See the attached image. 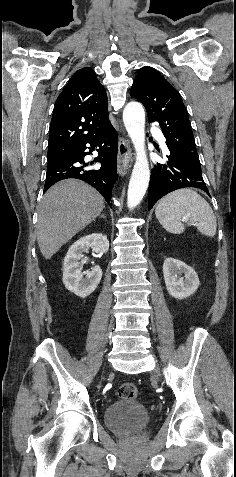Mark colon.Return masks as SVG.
<instances>
[{
	"label": "colon",
	"mask_w": 236,
	"mask_h": 477,
	"mask_svg": "<svg viewBox=\"0 0 236 477\" xmlns=\"http://www.w3.org/2000/svg\"><path fill=\"white\" fill-rule=\"evenodd\" d=\"M118 395L124 399H136L138 396V391L134 384L124 383L119 387Z\"/></svg>",
	"instance_id": "5ec220e1"
}]
</instances>
